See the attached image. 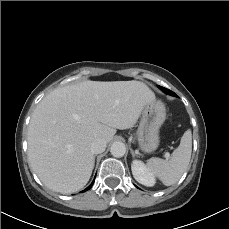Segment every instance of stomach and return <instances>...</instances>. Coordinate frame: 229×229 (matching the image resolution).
<instances>
[{
  "instance_id": "stomach-1",
  "label": "stomach",
  "mask_w": 229,
  "mask_h": 229,
  "mask_svg": "<svg viewBox=\"0 0 229 229\" xmlns=\"http://www.w3.org/2000/svg\"><path fill=\"white\" fill-rule=\"evenodd\" d=\"M166 118V109L161 101L147 103L142 111L136 133L139 148L145 153L155 151L159 146V129Z\"/></svg>"
}]
</instances>
